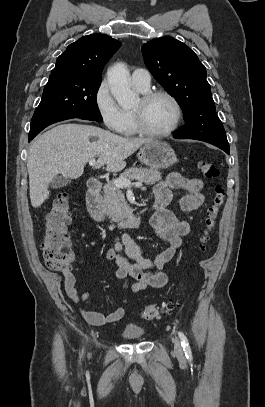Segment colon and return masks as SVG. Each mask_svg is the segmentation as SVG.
I'll list each match as a JSON object with an SVG mask.
<instances>
[{"label":"colon","mask_w":265,"mask_h":407,"mask_svg":"<svg viewBox=\"0 0 265 407\" xmlns=\"http://www.w3.org/2000/svg\"><path fill=\"white\" fill-rule=\"evenodd\" d=\"M198 168L205 178L216 182L211 203L206 209L203 231L199 239L200 247L203 248L210 238L224 203L225 189L219 183L220 171L214 162L200 160ZM70 216V197L66 193H61L53 201L46 214L45 231L41 243L44 263L50 269L67 270L75 259V253L67 232ZM178 306L177 302H165L160 305L150 304L141 311V317L148 321H154L168 315Z\"/></svg>","instance_id":"1"}]
</instances>
